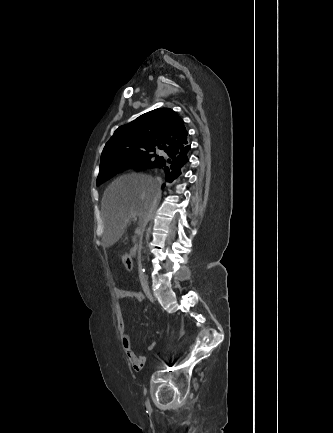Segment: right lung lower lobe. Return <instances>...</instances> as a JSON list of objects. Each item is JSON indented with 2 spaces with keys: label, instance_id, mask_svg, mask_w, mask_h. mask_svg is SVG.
Here are the masks:
<instances>
[{
  "label": "right lung lower lobe",
  "instance_id": "1",
  "mask_svg": "<svg viewBox=\"0 0 333 433\" xmlns=\"http://www.w3.org/2000/svg\"><path fill=\"white\" fill-rule=\"evenodd\" d=\"M191 145L171 150L167 152L170 159L162 158L154 167L158 168L165 176L167 182H173L184 171V168L189 162V150ZM162 187H165L163 184Z\"/></svg>",
  "mask_w": 333,
  "mask_h": 433
}]
</instances>
